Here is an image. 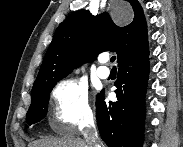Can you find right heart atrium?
<instances>
[{
	"label": "right heart atrium",
	"mask_w": 183,
	"mask_h": 147,
	"mask_svg": "<svg viewBox=\"0 0 183 147\" xmlns=\"http://www.w3.org/2000/svg\"><path fill=\"white\" fill-rule=\"evenodd\" d=\"M52 117L59 126L81 129L89 124L93 112L87 85L77 77L60 81L52 90Z\"/></svg>",
	"instance_id": "d8ad5b80"
}]
</instances>
